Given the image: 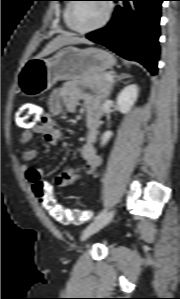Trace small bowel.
Returning a JSON list of instances; mask_svg holds the SVG:
<instances>
[{
	"instance_id": "1",
	"label": "small bowel",
	"mask_w": 180,
	"mask_h": 299,
	"mask_svg": "<svg viewBox=\"0 0 180 299\" xmlns=\"http://www.w3.org/2000/svg\"><path fill=\"white\" fill-rule=\"evenodd\" d=\"M83 103L86 107L87 141L81 147V156L85 161V172L93 174L101 165V158L95 148V140L97 137L100 121V106L97 97L85 90L84 84L80 82H71L64 85L60 90L54 91L48 99V107L50 113L44 116L43 120L31 127L25 128L19 138L20 144H27L35 133H40L45 140L51 144L57 143L62 136L61 130L55 126L54 117H60L63 110L73 112L78 105ZM38 155L35 148L26 149L23 152V159L27 162L33 161ZM23 172L26 180L35 184L37 182L47 183L44 179L42 169L24 167ZM81 178L80 172L75 168L65 170L55 179L56 185L59 187H67Z\"/></svg>"
}]
</instances>
